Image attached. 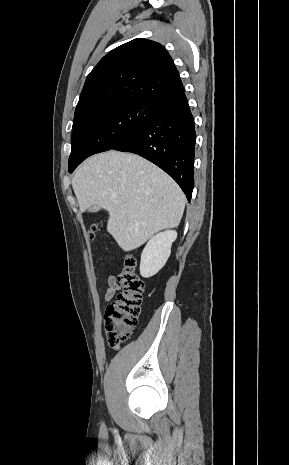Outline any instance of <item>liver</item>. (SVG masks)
Returning a JSON list of instances; mask_svg holds the SVG:
<instances>
[{
  "mask_svg": "<svg viewBox=\"0 0 289 465\" xmlns=\"http://www.w3.org/2000/svg\"><path fill=\"white\" fill-rule=\"evenodd\" d=\"M72 187L80 212L91 206L108 211L107 231L124 251L177 227L185 208L182 190L165 172L138 155L115 150L85 160Z\"/></svg>",
  "mask_w": 289,
  "mask_h": 465,
  "instance_id": "obj_1",
  "label": "liver"
}]
</instances>
